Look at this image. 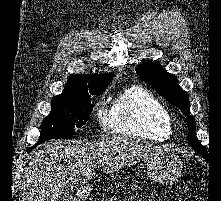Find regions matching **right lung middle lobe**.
Listing matches in <instances>:
<instances>
[{
    "instance_id": "right-lung-middle-lobe-1",
    "label": "right lung middle lobe",
    "mask_w": 221,
    "mask_h": 201,
    "mask_svg": "<svg viewBox=\"0 0 221 201\" xmlns=\"http://www.w3.org/2000/svg\"><path fill=\"white\" fill-rule=\"evenodd\" d=\"M103 91L83 97L58 95L51 101V112L41 124L39 143L49 139H68L75 133V128L82 127L92 111L91 97L99 96Z\"/></svg>"
}]
</instances>
